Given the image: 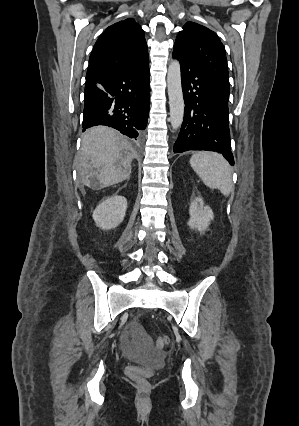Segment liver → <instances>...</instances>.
Returning a JSON list of instances; mask_svg holds the SVG:
<instances>
[{"label":"liver","mask_w":299,"mask_h":426,"mask_svg":"<svg viewBox=\"0 0 299 426\" xmlns=\"http://www.w3.org/2000/svg\"><path fill=\"white\" fill-rule=\"evenodd\" d=\"M135 150L117 131L97 126L82 136L77 170L81 183L90 188H104L130 176Z\"/></svg>","instance_id":"1"}]
</instances>
